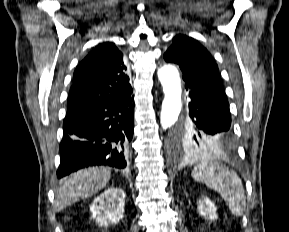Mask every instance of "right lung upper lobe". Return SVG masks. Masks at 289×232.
<instances>
[{
	"mask_svg": "<svg viewBox=\"0 0 289 232\" xmlns=\"http://www.w3.org/2000/svg\"><path fill=\"white\" fill-rule=\"evenodd\" d=\"M123 54L110 42L96 47L78 65L67 110L119 98L132 90Z\"/></svg>",
	"mask_w": 289,
	"mask_h": 232,
	"instance_id": "obj_1",
	"label": "right lung upper lobe"
}]
</instances>
